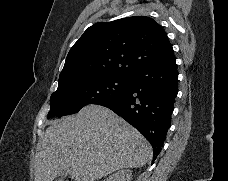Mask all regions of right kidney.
<instances>
[{"mask_svg":"<svg viewBox=\"0 0 228 181\" xmlns=\"http://www.w3.org/2000/svg\"><path fill=\"white\" fill-rule=\"evenodd\" d=\"M107 181H132V173L130 169H121V171H116L114 175H110Z\"/></svg>","mask_w":228,"mask_h":181,"instance_id":"1","label":"right kidney"}]
</instances>
